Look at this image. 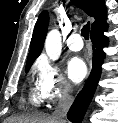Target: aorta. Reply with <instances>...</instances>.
<instances>
[{
	"instance_id": "obj_1",
	"label": "aorta",
	"mask_w": 118,
	"mask_h": 123,
	"mask_svg": "<svg viewBox=\"0 0 118 123\" xmlns=\"http://www.w3.org/2000/svg\"><path fill=\"white\" fill-rule=\"evenodd\" d=\"M45 50L49 59L57 60L62 52L61 34L57 29L51 30L45 40Z\"/></svg>"
}]
</instances>
